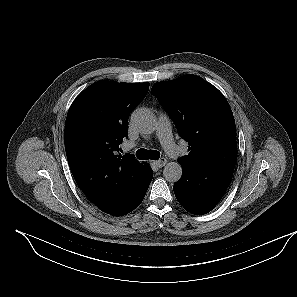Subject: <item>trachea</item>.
<instances>
[{
  "label": "trachea",
  "mask_w": 297,
  "mask_h": 297,
  "mask_svg": "<svg viewBox=\"0 0 297 297\" xmlns=\"http://www.w3.org/2000/svg\"><path fill=\"white\" fill-rule=\"evenodd\" d=\"M136 155L139 160H158L160 157V153L156 150H147V149H139L136 151Z\"/></svg>",
  "instance_id": "3493384b"
}]
</instances>
